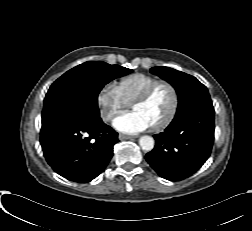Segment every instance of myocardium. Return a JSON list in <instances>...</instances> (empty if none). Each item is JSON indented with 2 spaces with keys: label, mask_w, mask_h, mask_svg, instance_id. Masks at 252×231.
I'll return each mask as SVG.
<instances>
[{
  "label": "myocardium",
  "mask_w": 252,
  "mask_h": 231,
  "mask_svg": "<svg viewBox=\"0 0 252 231\" xmlns=\"http://www.w3.org/2000/svg\"><path fill=\"white\" fill-rule=\"evenodd\" d=\"M161 84L167 85L169 87V89L171 90L172 104H171V107H170L168 113L166 114V116L160 122L151 126V128L154 131L161 130V129L165 128L166 126H168L171 123V121L174 119V117L177 113V110L179 107V92H178V89L175 86V84L169 80H166V79H158L155 82H153L151 85H149L131 103V107H133L135 104L143 103V102L147 101L149 99V97L151 96V94L153 93V91L155 90V88Z\"/></svg>",
  "instance_id": "f54148a6"
}]
</instances>
